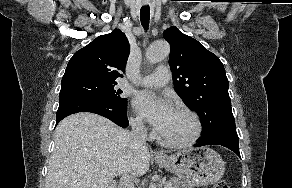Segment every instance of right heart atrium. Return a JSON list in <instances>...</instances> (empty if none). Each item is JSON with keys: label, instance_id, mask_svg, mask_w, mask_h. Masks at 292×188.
I'll return each instance as SVG.
<instances>
[{"label": "right heart atrium", "instance_id": "obj_1", "mask_svg": "<svg viewBox=\"0 0 292 188\" xmlns=\"http://www.w3.org/2000/svg\"><path fill=\"white\" fill-rule=\"evenodd\" d=\"M130 124L134 130L137 132H144L145 131V124L140 116H133L130 118Z\"/></svg>", "mask_w": 292, "mask_h": 188}]
</instances>
